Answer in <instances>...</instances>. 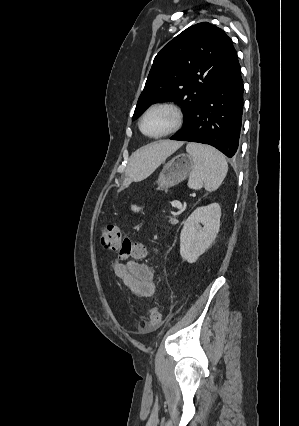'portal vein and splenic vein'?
<instances>
[{"mask_svg": "<svg viewBox=\"0 0 299 426\" xmlns=\"http://www.w3.org/2000/svg\"><path fill=\"white\" fill-rule=\"evenodd\" d=\"M172 206H173V207H177V208H179V207H181L182 205H181V203H180L179 201H173V202H172Z\"/></svg>", "mask_w": 299, "mask_h": 426, "instance_id": "portal-vein-and-splenic-vein-1", "label": "portal vein and splenic vein"}]
</instances>
